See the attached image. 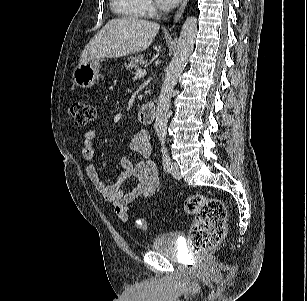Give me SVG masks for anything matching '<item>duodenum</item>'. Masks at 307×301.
I'll return each instance as SVG.
<instances>
[{
  "label": "duodenum",
  "instance_id": "obj_1",
  "mask_svg": "<svg viewBox=\"0 0 307 301\" xmlns=\"http://www.w3.org/2000/svg\"><path fill=\"white\" fill-rule=\"evenodd\" d=\"M138 120L143 124H151L156 117V105L154 102H148L138 110Z\"/></svg>",
  "mask_w": 307,
  "mask_h": 301
}]
</instances>
